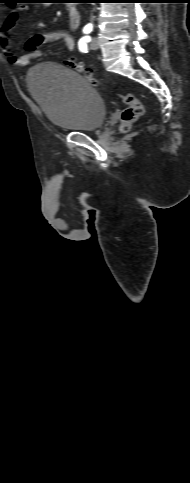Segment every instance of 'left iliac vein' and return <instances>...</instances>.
Instances as JSON below:
<instances>
[{
    "instance_id": "4c4485c4",
    "label": "left iliac vein",
    "mask_w": 190,
    "mask_h": 483,
    "mask_svg": "<svg viewBox=\"0 0 190 483\" xmlns=\"http://www.w3.org/2000/svg\"><path fill=\"white\" fill-rule=\"evenodd\" d=\"M90 48L93 50H97L99 48V44L96 38H93L90 42Z\"/></svg>"
}]
</instances>
